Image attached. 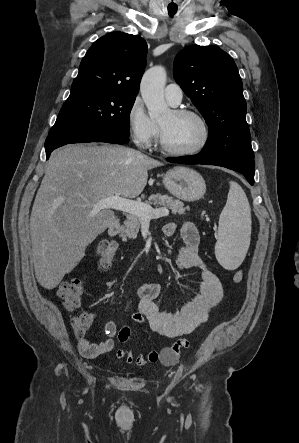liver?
Wrapping results in <instances>:
<instances>
[{
	"instance_id": "6515ba94",
	"label": "liver",
	"mask_w": 299,
	"mask_h": 443,
	"mask_svg": "<svg viewBox=\"0 0 299 443\" xmlns=\"http://www.w3.org/2000/svg\"><path fill=\"white\" fill-rule=\"evenodd\" d=\"M160 165L123 146L68 145L51 154L30 217L35 275L42 287H57L113 224L114 212L97 209V203L139 196L148 170Z\"/></svg>"
}]
</instances>
